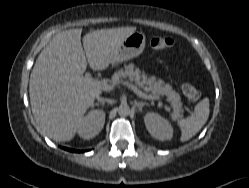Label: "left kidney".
<instances>
[{
    "instance_id": "obj_1",
    "label": "left kidney",
    "mask_w": 249,
    "mask_h": 188,
    "mask_svg": "<svg viewBox=\"0 0 249 188\" xmlns=\"http://www.w3.org/2000/svg\"><path fill=\"white\" fill-rule=\"evenodd\" d=\"M145 126L148 132L155 139L164 141L171 140L173 128L168 120L157 113H147L144 117Z\"/></svg>"
}]
</instances>
